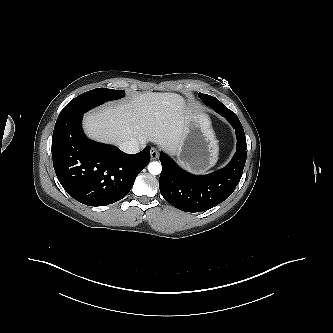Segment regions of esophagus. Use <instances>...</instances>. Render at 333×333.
<instances>
[{"instance_id":"esophagus-1","label":"esophagus","mask_w":333,"mask_h":333,"mask_svg":"<svg viewBox=\"0 0 333 333\" xmlns=\"http://www.w3.org/2000/svg\"><path fill=\"white\" fill-rule=\"evenodd\" d=\"M150 156L152 160H156L159 157V152L156 148H151Z\"/></svg>"}]
</instances>
